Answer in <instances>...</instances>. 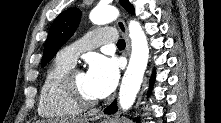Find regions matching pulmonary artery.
Here are the masks:
<instances>
[{"label": "pulmonary artery", "instance_id": "obj_1", "mask_svg": "<svg viewBox=\"0 0 221 123\" xmlns=\"http://www.w3.org/2000/svg\"><path fill=\"white\" fill-rule=\"evenodd\" d=\"M116 40V32L112 28H101L90 31L76 43L63 48L58 57L74 65L78 55L86 50L93 49L102 44L112 43Z\"/></svg>", "mask_w": 221, "mask_h": 123}]
</instances>
